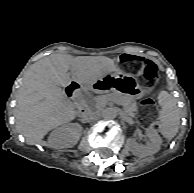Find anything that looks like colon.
Returning <instances> with one entry per match:
<instances>
[{
  "mask_svg": "<svg viewBox=\"0 0 194 193\" xmlns=\"http://www.w3.org/2000/svg\"><path fill=\"white\" fill-rule=\"evenodd\" d=\"M121 63L125 71L139 74L147 85L154 83L157 79V68L149 60L127 55L122 58ZM142 106L144 109V120L146 122L157 118L154 101L150 96L143 98Z\"/></svg>",
  "mask_w": 194,
  "mask_h": 193,
  "instance_id": "5ec220e1",
  "label": "colon"
}]
</instances>
